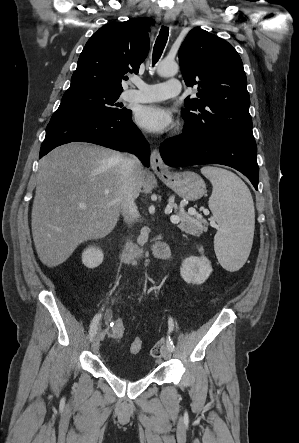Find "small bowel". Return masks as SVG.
Wrapping results in <instances>:
<instances>
[{
  "label": "small bowel",
  "instance_id": "1",
  "mask_svg": "<svg viewBox=\"0 0 299 443\" xmlns=\"http://www.w3.org/2000/svg\"><path fill=\"white\" fill-rule=\"evenodd\" d=\"M168 257H169L168 253L165 256H163V258H168ZM105 321H106V323H111V321H112V309L111 308H108L105 311ZM107 335H108V329L107 328H101L100 332H99V337L100 338H104Z\"/></svg>",
  "mask_w": 299,
  "mask_h": 443
}]
</instances>
